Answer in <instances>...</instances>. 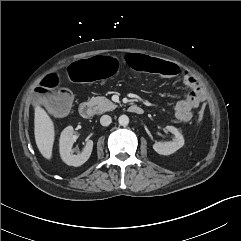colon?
Listing matches in <instances>:
<instances>
[{
	"label": "colon",
	"mask_w": 241,
	"mask_h": 241,
	"mask_svg": "<svg viewBox=\"0 0 241 241\" xmlns=\"http://www.w3.org/2000/svg\"><path fill=\"white\" fill-rule=\"evenodd\" d=\"M128 65L135 69L147 72L155 76L173 79L180 78L183 70L178 65L164 62L159 59L148 58L141 55L125 57L117 52L101 53L86 59L73 62L69 68V77L75 83L95 82L97 80L111 78L122 73ZM59 84V77L55 74L47 76L41 83L39 93H45L55 89ZM72 101L71 94L66 90H60L55 94L43 96L41 102L51 111L66 110ZM205 110L201 109L198 120L204 117Z\"/></svg>",
	"instance_id": "5ec220e1"
}]
</instances>
